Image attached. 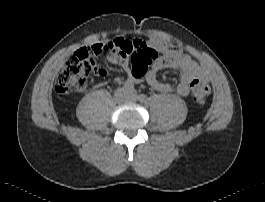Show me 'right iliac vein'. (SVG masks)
<instances>
[{
    "label": "right iliac vein",
    "mask_w": 265,
    "mask_h": 202,
    "mask_svg": "<svg viewBox=\"0 0 265 202\" xmlns=\"http://www.w3.org/2000/svg\"><path fill=\"white\" fill-rule=\"evenodd\" d=\"M124 93H125V90L124 89H118L116 91V97L119 98V99H121V97L124 95Z\"/></svg>",
    "instance_id": "63e3f726"
}]
</instances>
